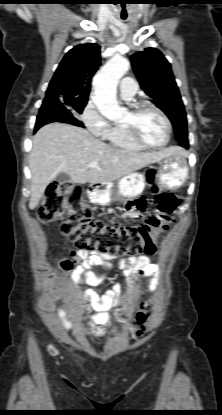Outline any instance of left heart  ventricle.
<instances>
[{
  "label": "left heart ventricle",
  "mask_w": 222,
  "mask_h": 415,
  "mask_svg": "<svg viewBox=\"0 0 222 415\" xmlns=\"http://www.w3.org/2000/svg\"><path fill=\"white\" fill-rule=\"evenodd\" d=\"M132 120L128 112L123 122ZM136 126L141 137L150 144H161L165 141L167 129L162 117L152 109H145L135 119Z\"/></svg>",
  "instance_id": "1"
}]
</instances>
